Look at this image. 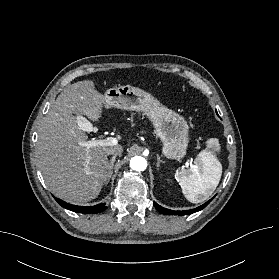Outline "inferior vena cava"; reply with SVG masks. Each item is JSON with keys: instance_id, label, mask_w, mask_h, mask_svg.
<instances>
[{"instance_id": "1", "label": "inferior vena cava", "mask_w": 279, "mask_h": 279, "mask_svg": "<svg viewBox=\"0 0 279 279\" xmlns=\"http://www.w3.org/2000/svg\"><path fill=\"white\" fill-rule=\"evenodd\" d=\"M122 153H123V148L121 146L115 147L109 151V154L111 155H122Z\"/></svg>"}]
</instances>
